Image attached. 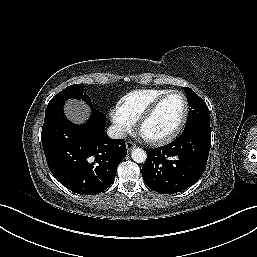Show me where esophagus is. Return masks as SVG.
I'll return each instance as SVG.
<instances>
[{"label": "esophagus", "mask_w": 257, "mask_h": 257, "mask_svg": "<svg viewBox=\"0 0 257 257\" xmlns=\"http://www.w3.org/2000/svg\"><path fill=\"white\" fill-rule=\"evenodd\" d=\"M136 147V144L132 141H127L126 142V148L128 151H131L132 149H134Z\"/></svg>", "instance_id": "esophagus-1"}]
</instances>
